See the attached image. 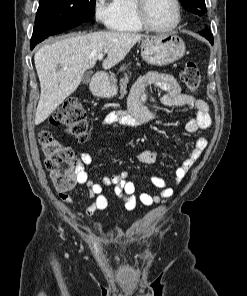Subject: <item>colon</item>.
I'll list each match as a JSON object with an SVG mask.
<instances>
[{
	"mask_svg": "<svg viewBox=\"0 0 247 296\" xmlns=\"http://www.w3.org/2000/svg\"><path fill=\"white\" fill-rule=\"evenodd\" d=\"M181 77L191 91L196 92L201 84V73L194 62H187L182 68ZM51 124L64 126L67 132L78 141L87 135L86 111L77 98H67L54 112ZM39 142L45 156V167L50 172L57 190L65 192L77 181L79 159L73 151L54 138L48 130L39 133Z\"/></svg>",
	"mask_w": 247,
	"mask_h": 296,
	"instance_id": "5ec220e1",
	"label": "colon"
}]
</instances>
